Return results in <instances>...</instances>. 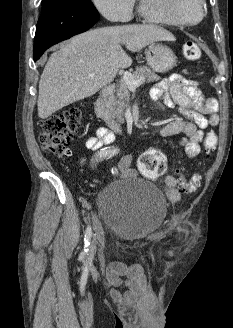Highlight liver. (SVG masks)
<instances>
[{
    "label": "liver",
    "instance_id": "obj_1",
    "mask_svg": "<svg viewBox=\"0 0 233 328\" xmlns=\"http://www.w3.org/2000/svg\"><path fill=\"white\" fill-rule=\"evenodd\" d=\"M154 25H120L74 36L49 58L39 81L38 115L46 119L59 109L89 97L108 85L132 59L121 44L137 52L155 41H175Z\"/></svg>",
    "mask_w": 233,
    "mask_h": 328
}]
</instances>
